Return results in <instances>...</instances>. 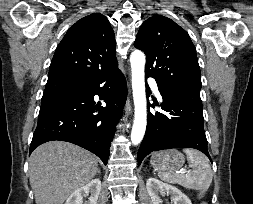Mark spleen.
I'll list each match as a JSON object with an SVG mask.
<instances>
[{
  "label": "spleen",
  "instance_id": "obj_1",
  "mask_svg": "<svg viewBox=\"0 0 253 204\" xmlns=\"http://www.w3.org/2000/svg\"><path fill=\"white\" fill-rule=\"evenodd\" d=\"M192 171L182 174L173 172H159L161 180L179 184L187 189H196L206 192L212 182L213 172L209 160L202 153L193 149H184Z\"/></svg>",
  "mask_w": 253,
  "mask_h": 204
}]
</instances>
